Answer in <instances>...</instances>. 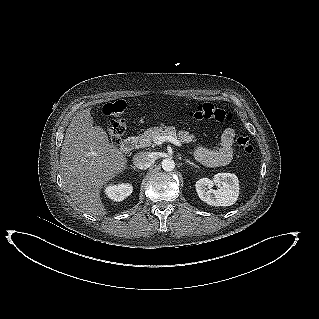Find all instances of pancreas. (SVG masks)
Wrapping results in <instances>:
<instances>
[{
    "label": "pancreas",
    "mask_w": 319,
    "mask_h": 319,
    "mask_svg": "<svg viewBox=\"0 0 319 319\" xmlns=\"http://www.w3.org/2000/svg\"><path fill=\"white\" fill-rule=\"evenodd\" d=\"M155 136H172L179 139L183 143H194L196 139L193 134H189L187 131H179L177 133L174 127H151L147 129L142 135L136 137V147L144 148L151 146L154 143Z\"/></svg>",
    "instance_id": "1"
}]
</instances>
